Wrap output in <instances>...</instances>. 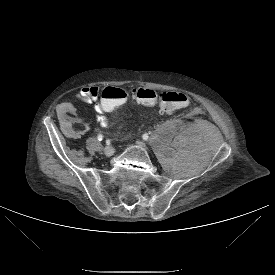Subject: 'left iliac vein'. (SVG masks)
<instances>
[{"instance_id":"1","label":"left iliac vein","mask_w":275,"mask_h":275,"mask_svg":"<svg viewBox=\"0 0 275 275\" xmlns=\"http://www.w3.org/2000/svg\"><path fill=\"white\" fill-rule=\"evenodd\" d=\"M137 144H139V145H144V143L141 142V141H137Z\"/></svg>"}]
</instances>
